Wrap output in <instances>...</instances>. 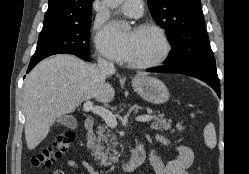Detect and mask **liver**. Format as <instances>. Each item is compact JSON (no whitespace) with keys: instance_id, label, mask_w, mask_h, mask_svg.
<instances>
[{"instance_id":"1","label":"liver","mask_w":249,"mask_h":174,"mask_svg":"<svg viewBox=\"0 0 249 174\" xmlns=\"http://www.w3.org/2000/svg\"><path fill=\"white\" fill-rule=\"evenodd\" d=\"M105 79L96 65L68 54L55 55L36 65L23 89L28 149H35L55 120L74 112L82 102L92 98L105 104L111 102L115 91Z\"/></svg>"}]
</instances>
